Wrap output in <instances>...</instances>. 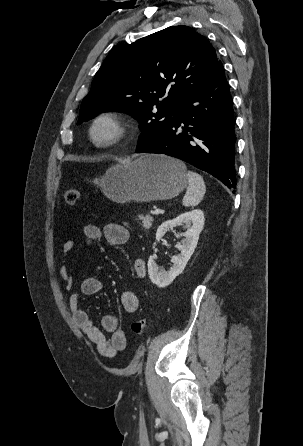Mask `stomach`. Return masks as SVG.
Instances as JSON below:
<instances>
[{"mask_svg": "<svg viewBox=\"0 0 303 446\" xmlns=\"http://www.w3.org/2000/svg\"><path fill=\"white\" fill-rule=\"evenodd\" d=\"M95 183L113 202H149L174 198L186 188L188 176L182 161L147 154L111 167Z\"/></svg>", "mask_w": 303, "mask_h": 446, "instance_id": "1", "label": "stomach"}]
</instances>
